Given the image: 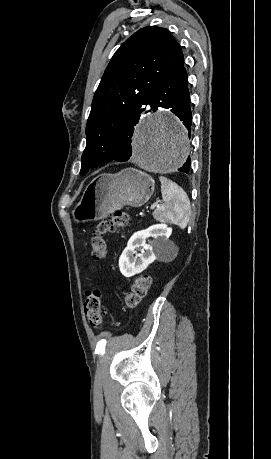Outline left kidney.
Masks as SVG:
<instances>
[{"label":"left kidney","instance_id":"obj_1","mask_svg":"<svg viewBox=\"0 0 271 459\" xmlns=\"http://www.w3.org/2000/svg\"><path fill=\"white\" fill-rule=\"evenodd\" d=\"M169 229L165 224H157V226L135 231L119 257L121 273L125 277H131V275L146 269L147 265L156 259L155 251L165 247ZM147 237H153V239H148V243H146ZM137 251H141V253H137Z\"/></svg>","mask_w":271,"mask_h":459}]
</instances>
